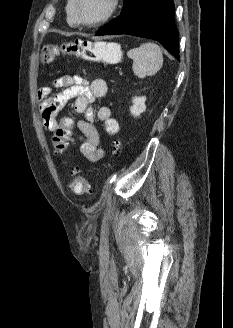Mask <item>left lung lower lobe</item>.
Here are the masks:
<instances>
[{"label":"left lung lower lobe","mask_w":233,"mask_h":328,"mask_svg":"<svg viewBox=\"0 0 233 328\" xmlns=\"http://www.w3.org/2000/svg\"><path fill=\"white\" fill-rule=\"evenodd\" d=\"M173 0H124L121 14L105 24L97 36L127 34L159 41L180 60Z\"/></svg>","instance_id":"left-lung-lower-lobe-1"}]
</instances>
